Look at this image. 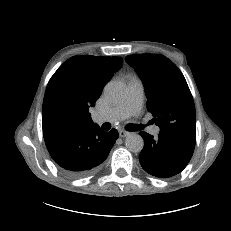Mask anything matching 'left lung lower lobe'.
Listing matches in <instances>:
<instances>
[{"label": "left lung lower lobe", "mask_w": 231, "mask_h": 231, "mask_svg": "<svg viewBox=\"0 0 231 231\" xmlns=\"http://www.w3.org/2000/svg\"><path fill=\"white\" fill-rule=\"evenodd\" d=\"M144 147L139 161L149 174L168 178L180 173L189 163L194 148L195 138L173 133H159L158 138L146 132H140Z\"/></svg>", "instance_id": "left-lung-lower-lobe-1"}]
</instances>
